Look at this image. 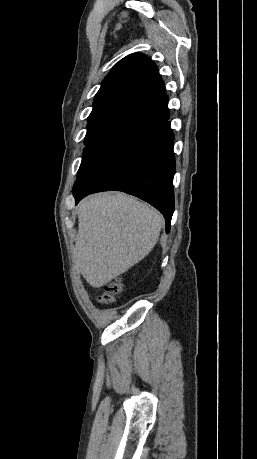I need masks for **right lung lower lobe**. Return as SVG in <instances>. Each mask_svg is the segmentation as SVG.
<instances>
[{
	"label": "right lung lower lobe",
	"mask_w": 257,
	"mask_h": 459,
	"mask_svg": "<svg viewBox=\"0 0 257 459\" xmlns=\"http://www.w3.org/2000/svg\"><path fill=\"white\" fill-rule=\"evenodd\" d=\"M168 97L128 118L107 146L80 172L73 186L76 202L84 196L119 190L137 196L165 217L166 232L174 212V135Z\"/></svg>",
	"instance_id": "1"
}]
</instances>
